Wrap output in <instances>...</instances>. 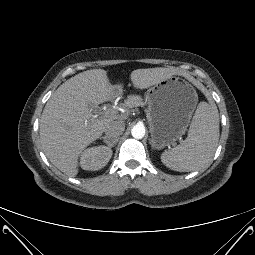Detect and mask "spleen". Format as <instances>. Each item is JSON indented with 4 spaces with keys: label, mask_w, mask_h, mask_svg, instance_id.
Here are the masks:
<instances>
[{
    "label": "spleen",
    "mask_w": 255,
    "mask_h": 255,
    "mask_svg": "<svg viewBox=\"0 0 255 255\" xmlns=\"http://www.w3.org/2000/svg\"><path fill=\"white\" fill-rule=\"evenodd\" d=\"M219 141V113L213 102H200L187 138L161 155L162 163L175 171L189 172L207 166Z\"/></svg>",
    "instance_id": "spleen-1"
}]
</instances>
